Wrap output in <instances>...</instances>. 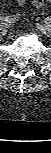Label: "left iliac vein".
I'll return each mask as SVG.
<instances>
[{
    "label": "left iliac vein",
    "instance_id": "obj_1",
    "mask_svg": "<svg viewBox=\"0 0 51 153\" xmlns=\"http://www.w3.org/2000/svg\"><path fill=\"white\" fill-rule=\"evenodd\" d=\"M38 29L42 33H44V34H47V35H50L51 34V26L50 25L42 24V25L38 26Z\"/></svg>",
    "mask_w": 51,
    "mask_h": 153
}]
</instances>
